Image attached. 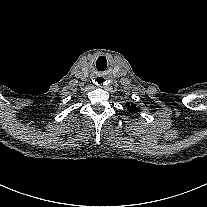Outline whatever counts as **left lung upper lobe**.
Here are the masks:
<instances>
[{
	"label": "left lung upper lobe",
	"mask_w": 207,
	"mask_h": 207,
	"mask_svg": "<svg viewBox=\"0 0 207 207\" xmlns=\"http://www.w3.org/2000/svg\"><path fill=\"white\" fill-rule=\"evenodd\" d=\"M126 106L130 112L140 111L135 104L126 103Z\"/></svg>",
	"instance_id": "obj_1"
}]
</instances>
